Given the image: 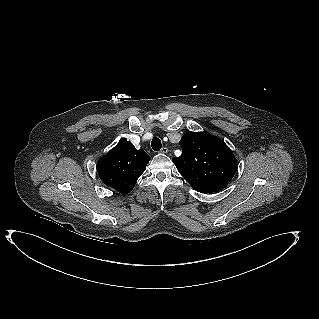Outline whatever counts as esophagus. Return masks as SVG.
I'll use <instances>...</instances> for the list:
<instances>
[{
	"mask_svg": "<svg viewBox=\"0 0 319 319\" xmlns=\"http://www.w3.org/2000/svg\"><path fill=\"white\" fill-rule=\"evenodd\" d=\"M160 152L163 153V154H166V153H168V148L167 147H162Z\"/></svg>",
	"mask_w": 319,
	"mask_h": 319,
	"instance_id": "1",
	"label": "esophagus"
}]
</instances>
